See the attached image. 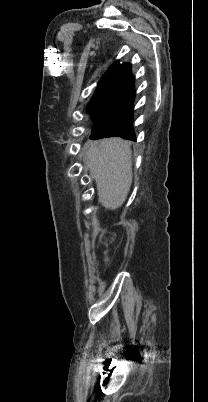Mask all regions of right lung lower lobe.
Wrapping results in <instances>:
<instances>
[{
	"mask_svg": "<svg viewBox=\"0 0 208 402\" xmlns=\"http://www.w3.org/2000/svg\"><path fill=\"white\" fill-rule=\"evenodd\" d=\"M112 90L121 95L122 110L118 120L113 123L110 119H94V127L91 139L119 136L124 139L136 141L132 130L133 103H134V79L129 65L110 85Z\"/></svg>",
	"mask_w": 208,
	"mask_h": 402,
	"instance_id": "right-lung-lower-lobe-1",
	"label": "right lung lower lobe"
}]
</instances>
